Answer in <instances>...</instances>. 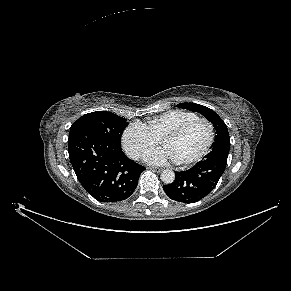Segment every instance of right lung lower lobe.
I'll return each mask as SVG.
<instances>
[{
  "label": "right lung lower lobe",
  "mask_w": 291,
  "mask_h": 291,
  "mask_svg": "<svg viewBox=\"0 0 291 291\" xmlns=\"http://www.w3.org/2000/svg\"><path fill=\"white\" fill-rule=\"evenodd\" d=\"M68 153L79 182L100 202L130 197L145 170L115 143L84 131L69 135Z\"/></svg>",
  "instance_id": "right-lung-lower-lobe-1"
}]
</instances>
